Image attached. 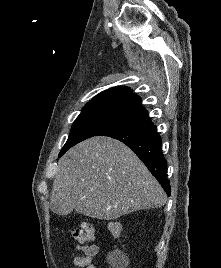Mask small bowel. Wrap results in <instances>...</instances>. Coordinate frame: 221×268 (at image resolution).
Segmentation results:
<instances>
[{"mask_svg":"<svg viewBox=\"0 0 221 268\" xmlns=\"http://www.w3.org/2000/svg\"><path fill=\"white\" fill-rule=\"evenodd\" d=\"M75 249L77 250V252L80 253V255H77L73 259V263L75 266L80 268H95V266L93 265V257L98 252L97 245H77Z\"/></svg>","mask_w":221,"mask_h":268,"instance_id":"1","label":"small bowel"}]
</instances>
